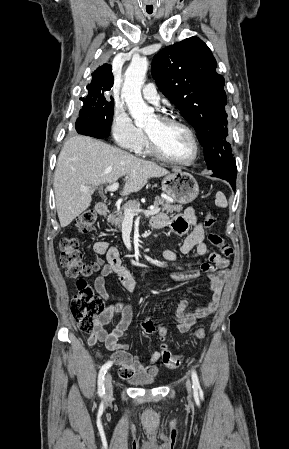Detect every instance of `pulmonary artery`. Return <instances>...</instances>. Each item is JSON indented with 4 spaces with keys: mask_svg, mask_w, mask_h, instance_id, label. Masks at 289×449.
Here are the masks:
<instances>
[{
    "mask_svg": "<svg viewBox=\"0 0 289 449\" xmlns=\"http://www.w3.org/2000/svg\"><path fill=\"white\" fill-rule=\"evenodd\" d=\"M142 94L145 100L156 106L159 105L160 96L157 93L156 87L153 83L146 84L142 89Z\"/></svg>",
    "mask_w": 289,
    "mask_h": 449,
    "instance_id": "obj_1",
    "label": "pulmonary artery"
}]
</instances>
